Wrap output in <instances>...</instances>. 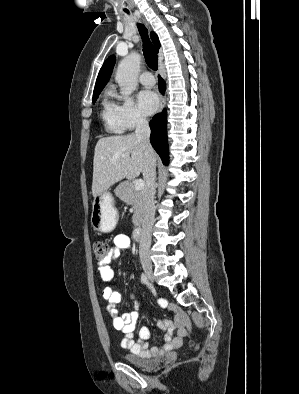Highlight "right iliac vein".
I'll return each mask as SVG.
<instances>
[{
	"mask_svg": "<svg viewBox=\"0 0 299 394\" xmlns=\"http://www.w3.org/2000/svg\"><path fill=\"white\" fill-rule=\"evenodd\" d=\"M142 268L150 281H153V268L151 264H143Z\"/></svg>",
	"mask_w": 299,
	"mask_h": 394,
	"instance_id": "1",
	"label": "right iliac vein"
}]
</instances>
